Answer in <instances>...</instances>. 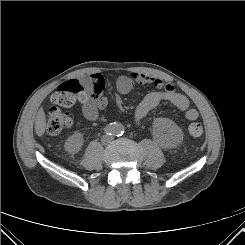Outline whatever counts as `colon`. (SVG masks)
Wrapping results in <instances>:
<instances>
[{
    "instance_id": "colon-1",
    "label": "colon",
    "mask_w": 245,
    "mask_h": 245,
    "mask_svg": "<svg viewBox=\"0 0 245 245\" xmlns=\"http://www.w3.org/2000/svg\"><path fill=\"white\" fill-rule=\"evenodd\" d=\"M90 96L87 84L79 80H70L61 84L51 97L53 106L48 115L47 130L56 135L71 127L73 119L62 107H70L76 102H83ZM188 132L193 137L203 134V126L199 122H192L188 126Z\"/></svg>"
}]
</instances>
